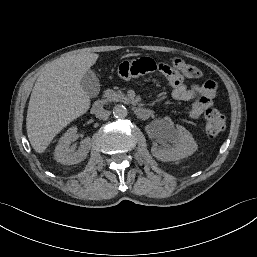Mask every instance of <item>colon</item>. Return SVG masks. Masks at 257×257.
I'll use <instances>...</instances> for the list:
<instances>
[{"label":"colon","instance_id":"5ec220e1","mask_svg":"<svg viewBox=\"0 0 257 257\" xmlns=\"http://www.w3.org/2000/svg\"><path fill=\"white\" fill-rule=\"evenodd\" d=\"M168 64L173 68L180 70L187 79L198 78L201 76V71L197 67L181 59L173 60ZM224 128L225 121L223 115L214 108L207 110L205 114V129L207 135L210 138H216L221 134Z\"/></svg>","mask_w":257,"mask_h":257}]
</instances>
